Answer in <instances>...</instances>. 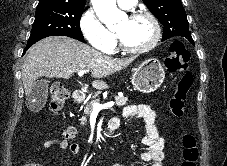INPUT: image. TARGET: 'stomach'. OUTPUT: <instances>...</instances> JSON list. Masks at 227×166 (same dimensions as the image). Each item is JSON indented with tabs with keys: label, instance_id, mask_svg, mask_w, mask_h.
<instances>
[{
	"label": "stomach",
	"instance_id": "obj_1",
	"mask_svg": "<svg viewBox=\"0 0 227 166\" xmlns=\"http://www.w3.org/2000/svg\"><path fill=\"white\" fill-rule=\"evenodd\" d=\"M165 78V70L156 59L142 62L132 75L131 82L134 88L142 93L156 91Z\"/></svg>",
	"mask_w": 227,
	"mask_h": 166
}]
</instances>
